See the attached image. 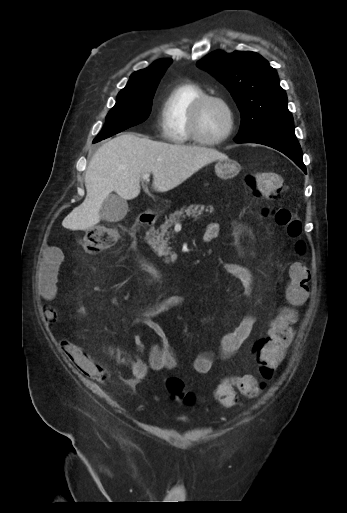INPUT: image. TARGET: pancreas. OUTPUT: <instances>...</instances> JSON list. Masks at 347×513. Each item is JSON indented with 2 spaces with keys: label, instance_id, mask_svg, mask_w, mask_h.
Wrapping results in <instances>:
<instances>
[{
  "label": "pancreas",
  "instance_id": "obj_1",
  "mask_svg": "<svg viewBox=\"0 0 347 513\" xmlns=\"http://www.w3.org/2000/svg\"><path fill=\"white\" fill-rule=\"evenodd\" d=\"M212 210L211 206L207 207L208 210ZM204 207L202 205L191 204L190 206L182 207L180 210H176L168 215L165 218L163 224L159 226L157 230L154 231L153 239H152V247L155 252H157L158 256H168L171 254L170 247L168 246V240L170 239L171 232L168 231L174 224L179 223L186 219L187 217H192L195 219L200 218L201 214H203Z\"/></svg>",
  "mask_w": 347,
  "mask_h": 513
}]
</instances>
